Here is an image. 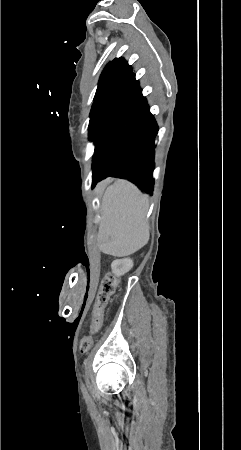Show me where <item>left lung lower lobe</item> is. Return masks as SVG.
Returning <instances> with one entry per match:
<instances>
[{"mask_svg": "<svg viewBox=\"0 0 241 450\" xmlns=\"http://www.w3.org/2000/svg\"><path fill=\"white\" fill-rule=\"evenodd\" d=\"M124 81L118 95L89 129V137L95 141L92 185L111 176L127 179L152 195L158 126L128 64Z\"/></svg>", "mask_w": 241, "mask_h": 450, "instance_id": "0a47b994", "label": "left lung lower lobe"}]
</instances>
